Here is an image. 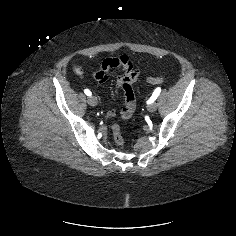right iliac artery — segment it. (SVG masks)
<instances>
[{"label":"right iliac artery","instance_id":"right-iliac-artery-1","mask_svg":"<svg viewBox=\"0 0 236 236\" xmlns=\"http://www.w3.org/2000/svg\"><path fill=\"white\" fill-rule=\"evenodd\" d=\"M84 93H85L87 96H91V95H92L91 91L88 90V89H85V90H84Z\"/></svg>","mask_w":236,"mask_h":236}]
</instances>
